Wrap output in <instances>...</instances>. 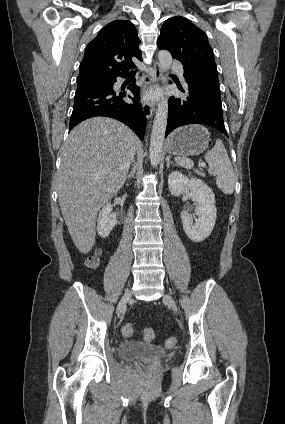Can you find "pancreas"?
Wrapping results in <instances>:
<instances>
[{"instance_id": "pancreas-1", "label": "pancreas", "mask_w": 285, "mask_h": 424, "mask_svg": "<svg viewBox=\"0 0 285 424\" xmlns=\"http://www.w3.org/2000/svg\"><path fill=\"white\" fill-rule=\"evenodd\" d=\"M197 174H199L200 176H204V173L200 172V171H195Z\"/></svg>"}]
</instances>
